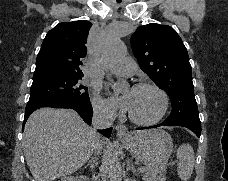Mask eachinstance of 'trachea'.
<instances>
[{
	"label": "trachea",
	"instance_id": "3493384b",
	"mask_svg": "<svg viewBox=\"0 0 228 181\" xmlns=\"http://www.w3.org/2000/svg\"><path fill=\"white\" fill-rule=\"evenodd\" d=\"M117 2H118V3H120V2H121V0H117Z\"/></svg>",
	"mask_w": 228,
	"mask_h": 181
}]
</instances>
